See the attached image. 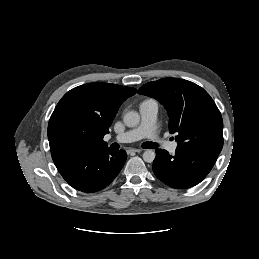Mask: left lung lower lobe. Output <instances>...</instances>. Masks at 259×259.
Returning <instances> with one entry per match:
<instances>
[{
  "label": "left lung lower lobe",
  "mask_w": 259,
  "mask_h": 259,
  "mask_svg": "<svg viewBox=\"0 0 259 259\" xmlns=\"http://www.w3.org/2000/svg\"><path fill=\"white\" fill-rule=\"evenodd\" d=\"M220 151L207 148L176 149L175 155L156 149L153 171L166 185L186 189L200 183L211 171Z\"/></svg>",
  "instance_id": "obj_1"
}]
</instances>
